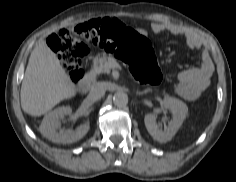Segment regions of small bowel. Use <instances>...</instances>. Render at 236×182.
I'll use <instances>...</instances> for the list:
<instances>
[{
    "mask_svg": "<svg viewBox=\"0 0 236 182\" xmlns=\"http://www.w3.org/2000/svg\"><path fill=\"white\" fill-rule=\"evenodd\" d=\"M155 34L168 32L185 38L186 45L192 50L199 51L201 64L198 67L185 69L178 74L176 91L187 101L197 100L209 87L214 66L201 39L194 33L171 23L155 22L151 25Z\"/></svg>",
    "mask_w": 236,
    "mask_h": 182,
    "instance_id": "obj_1",
    "label": "small bowel"
}]
</instances>
